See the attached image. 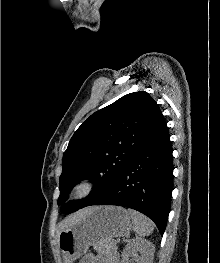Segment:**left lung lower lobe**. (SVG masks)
Masks as SVG:
<instances>
[{
	"label": "left lung lower lobe",
	"instance_id": "1",
	"mask_svg": "<svg viewBox=\"0 0 220 263\" xmlns=\"http://www.w3.org/2000/svg\"><path fill=\"white\" fill-rule=\"evenodd\" d=\"M172 146L166 122L132 155L112 185L90 205L137 210L154 221L163 235L173 188Z\"/></svg>",
	"mask_w": 220,
	"mask_h": 263
}]
</instances>
